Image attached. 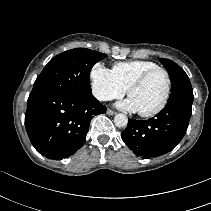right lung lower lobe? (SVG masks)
<instances>
[{"label":"right lung lower lobe","instance_id":"1","mask_svg":"<svg viewBox=\"0 0 211 211\" xmlns=\"http://www.w3.org/2000/svg\"><path fill=\"white\" fill-rule=\"evenodd\" d=\"M106 110L91 94L32 90L27 101L25 127L32 145L41 155L60 160L83 145L91 119Z\"/></svg>","mask_w":211,"mask_h":211}]
</instances>
